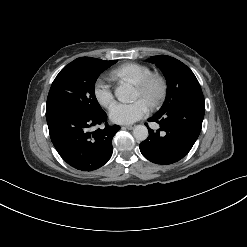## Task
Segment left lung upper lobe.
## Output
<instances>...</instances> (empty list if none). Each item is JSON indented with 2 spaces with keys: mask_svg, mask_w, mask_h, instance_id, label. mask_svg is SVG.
Returning <instances> with one entry per match:
<instances>
[{
  "mask_svg": "<svg viewBox=\"0 0 247 247\" xmlns=\"http://www.w3.org/2000/svg\"><path fill=\"white\" fill-rule=\"evenodd\" d=\"M148 61L160 68L167 81L166 99L157 115L183 106L205 107L200 84L188 66L170 56H152Z\"/></svg>",
  "mask_w": 247,
  "mask_h": 247,
  "instance_id": "left-lung-upper-lobe-1",
  "label": "left lung upper lobe"
}]
</instances>
